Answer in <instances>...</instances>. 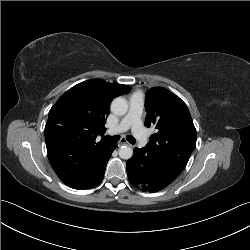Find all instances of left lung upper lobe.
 Wrapping results in <instances>:
<instances>
[{
  "mask_svg": "<svg viewBox=\"0 0 250 250\" xmlns=\"http://www.w3.org/2000/svg\"><path fill=\"white\" fill-rule=\"evenodd\" d=\"M145 108V125L155 124L158 129L146 146L156 155L172 153L175 162L186 165L197 139L186 104L169 90L153 87L146 93Z\"/></svg>",
  "mask_w": 250,
  "mask_h": 250,
  "instance_id": "5c2ea615",
  "label": "left lung upper lobe"
}]
</instances>
